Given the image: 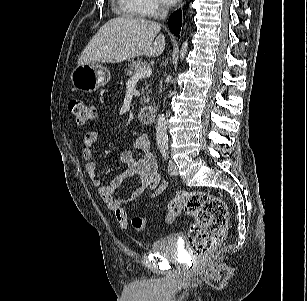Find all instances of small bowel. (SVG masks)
Segmentation results:
<instances>
[{
  "label": "small bowel",
  "mask_w": 307,
  "mask_h": 301,
  "mask_svg": "<svg viewBox=\"0 0 307 301\" xmlns=\"http://www.w3.org/2000/svg\"><path fill=\"white\" fill-rule=\"evenodd\" d=\"M104 133V130H97L85 134L82 149V158L87 162L85 171L90 181L97 187L104 203L114 212L120 227L127 229L129 217L125 207L136 201L146 191H149L151 199L159 197L167 189L168 185L160 178L156 159L151 150L148 137L144 134L136 139L134 151L127 150L122 152L120 160L124 165L123 172L112 178L108 183H103L97 166L92 160L94 157V145ZM134 176L137 177L135 188L124 199L115 198L116 189L120 187L124 180Z\"/></svg>",
  "instance_id": "obj_1"
}]
</instances>
